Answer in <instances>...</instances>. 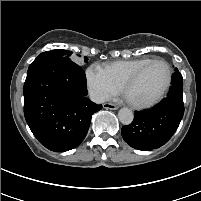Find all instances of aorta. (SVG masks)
<instances>
[{
	"instance_id": "aorta-1",
	"label": "aorta",
	"mask_w": 201,
	"mask_h": 201,
	"mask_svg": "<svg viewBox=\"0 0 201 201\" xmlns=\"http://www.w3.org/2000/svg\"><path fill=\"white\" fill-rule=\"evenodd\" d=\"M118 118L122 124L129 125L132 123L134 115L130 109L121 108L118 112Z\"/></svg>"
}]
</instances>
